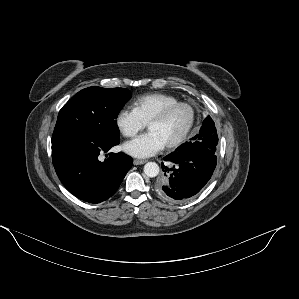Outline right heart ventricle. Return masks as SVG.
<instances>
[{"instance_id":"1","label":"right heart ventricle","mask_w":299,"mask_h":299,"mask_svg":"<svg viewBox=\"0 0 299 299\" xmlns=\"http://www.w3.org/2000/svg\"><path fill=\"white\" fill-rule=\"evenodd\" d=\"M180 100L168 93L154 92L136 97L132 103L133 110L139 118L147 124L149 120L164 107L177 103Z\"/></svg>"}]
</instances>
